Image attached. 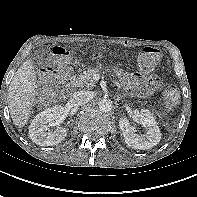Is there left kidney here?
<instances>
[{
	"label": "left kidney",
	"mask_w": 197,
	"mask_h": 197,
	"mask_svg": "<svg viewBox=\"0 0 197 197\" xmlns=\"http://www.w3.org/2000/svg\"><path fill=\"white\" fill-rule=\"evenodd\" d=\"M135 121L145 128V134H137L136 129L129 123L126 117H121L119 126L125 139V143L133 149L146 150L157 145L161 140L160 129L148 109H141L134 116Z\"/></svg>",
	"instance_id": "5707ae66"
}]
</instances>
